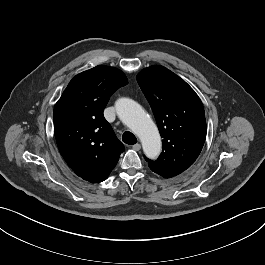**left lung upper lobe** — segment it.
Masks as SVG:
<instances>
[{"label":"left lung upper lobe","instance_id":"1","mask_svg":"<svg viewBox=\"0 0 265 265\" xmlns=\"http://www.w3.org/2000/svg\"><path fill=\"white\" fill-rule=\"evenodd\" d=\"M137 81L163 138L158 159L145 160L153 172L171 178L189 168L202 150L206 138L203 104L183 79L163 66L143 69Z\"/></svg>","mask_w":265,"mask_h":265}]
</instances>
